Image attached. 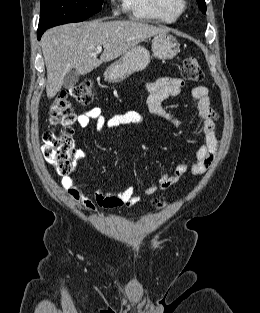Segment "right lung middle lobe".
Returning a JSON list of instances; mask_svg holds the SVG:
<instances>
[{"mask_svg":"<svg viewBox=\"0 0 260 313\" xmlns=\"http://www.w3.org/2000/svg\"><path fill=\"white\" fill-rule=\"evenodd\" d=\"M104 0H41L38 28L80 22L101 10Z\"/></svg>","mask_w":260,"mask_h":313,"instance_id":"right-lung-middle-lobe-1","label":"right lung middle lobe"}]
</instances>
